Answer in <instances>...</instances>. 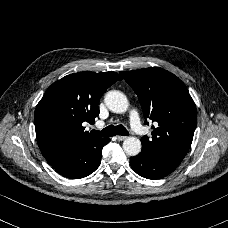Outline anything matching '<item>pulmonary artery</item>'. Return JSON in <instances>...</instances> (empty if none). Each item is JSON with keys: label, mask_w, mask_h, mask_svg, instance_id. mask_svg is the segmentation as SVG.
<instances>
[{"label": "pulmonary artery", "mask_w": 228, "mask_h": 228, "mask_svg": "<svg viewBox=\"0 0 228 228\" xmlns=\"http://www.w3.org/2000/svg\"><path fill=\"white\" fill-rule=\"evenodd\" d=\"M99 125V124H98ZM131 128L136 130L138 135H145L147 133V128L142 126V121L138 119V114L136 111H133L131 114Z\"/></svg>", "instance_id": "1"}]
</instances>
